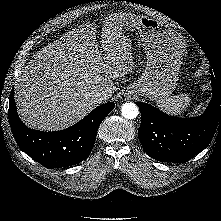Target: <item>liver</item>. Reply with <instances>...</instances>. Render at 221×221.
<instances>
[{"instance_id": "liver-1", "label": "liver", "mask_w": 221, "mask_h": 221, "mask_svg": "<svg viewBox=\"0 0 221 221\" xmlns=\"http://www.w3.org/2000/svg\"><path fill=\"white\" fill-rule=\"evenodd\" d=\"M120 18L112 14L105 21L100 51L95 42L96 26L87 23L32 57L15 85L18 113L28 127L65 129L97 106L94 91L104 90L108 98L113 95L116 86L112 79L124 77L133 67L131 45L123 35Z\"/></svg>"}]
</instances>
